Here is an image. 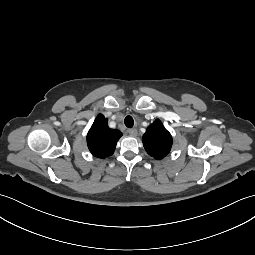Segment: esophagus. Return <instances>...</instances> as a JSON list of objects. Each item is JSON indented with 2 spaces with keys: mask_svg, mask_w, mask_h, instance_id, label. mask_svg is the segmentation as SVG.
<instances>
[{
  "mask_svg": "<svg viewBox=\"0 0 255 255\" xmlns=\"http://www.w3.org/2000/svg\"><path fill=\"white\" fill-rule=\"evenodd\" d=\"M130 136H137V129H130L128 130Z\"/></svg>",
  "mask_w": 255,
  "mask_h": 255,
  "instance_id": "34e87169",
  "label": "esophagus"
}]
</instances>
